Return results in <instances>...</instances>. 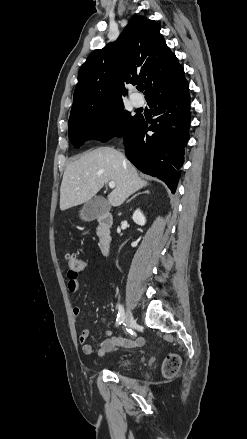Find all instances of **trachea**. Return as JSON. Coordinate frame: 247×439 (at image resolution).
I'll list each match as a JSON object with an SVG mask.
<instances>
[{
  "mask_svg": "<svg viewBox=\"0 0 247 439\" xmlns=\"http://www.w3.org/2000/svg\"><path fill=\"white\" fill-rule=\"evenodd\" d=\"M144 86L143 85H139L138 87H137V89L139 90V91H143L144 90Z\"/></svg>",
  "mask_w": 247,
  "mask_h": 439,
  "instance_id": "3493384b",
  "label": "trachea"
}]
</instances>
